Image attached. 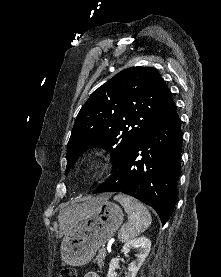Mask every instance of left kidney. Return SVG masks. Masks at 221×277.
I'll return each instance as SVG.
<instances>
[{"label":"left kidney","instance_id":"left-kidney-1","mask_svg":"<svg viewBox=\"0 0 221 277\" xmlns=\"http://www.w3.org/2000/svg\"><path fill=\"white\" fill-rule=\"evenodd\" d=\"M136 248L139 253L136 254L137 259L135 261H132L129 264L128 267V273L126 274L125 277H135L138 270L142 266L143 262L145 261L146 257L148 256L150 249H151V241L144 237H138L132 240L127 241L121 252L122 253H129L131 249ZM119 262V258H113L109 264V270L107 277H116V268Z\"/></svg>","mask_w":221,"mask_h":277}]
</instances>
